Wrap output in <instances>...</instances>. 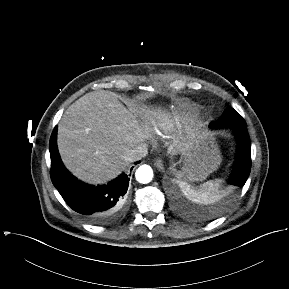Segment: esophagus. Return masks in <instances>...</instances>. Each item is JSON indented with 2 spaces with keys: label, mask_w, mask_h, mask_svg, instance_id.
<instances>
[{
  "label": "esophagus",
  "mask_w": 289,
  "mask_h": 289,
  "mask_svg": "<svg viewBox=\"0 0 289 289\" xmlns=\"http://www.w3.org/2000/svg\"><path fill=\"white\" fill-rule=\"evenodd\" d=\"M154 165L158 170H160V171L164 170V164H163V161L161 159H156L154 161Z\"/></svg>",
  "instance_id": "34e87169"
}]
</instances>
